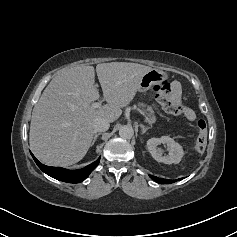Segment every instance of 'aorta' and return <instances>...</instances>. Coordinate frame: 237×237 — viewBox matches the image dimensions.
<instances>
[{
    "instance_id": "762f6f07",
    "label": "aorta",
    "mask_w": 237,
    "mask_h": 237,
    "mask_svg": "<svg viewBox=\"0 0 237 237\" xmlns=\"http://www.w3.org/2000/svg\"><path fill=\"white\" fill-rule=\"evenodd\" d=\"M133 135H134V130L132 126L123 125L119 129V136L123 139H131Z\"/></svg>"
}]
</instances>
